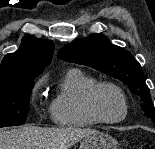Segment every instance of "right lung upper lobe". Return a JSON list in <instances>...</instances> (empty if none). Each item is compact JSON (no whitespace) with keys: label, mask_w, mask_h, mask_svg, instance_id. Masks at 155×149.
Returning <instances> with one entry per match:
<instances>
[{"label":"right lung upper lobe","mask_w":155,"mask_h":149,"mask_svg":"<svg viewBox=\"0 0 155 149\" xmlns=\"http://www.w3.org/2000/svg\"><path fill=\"white\" fill-rule=\"evenodd\" d=\"M54 46L52 41L25 36L19 50L4 57L0 64V79L31 77L42 73L51 62Z\"/></svg>","instance_id":"right-lung-upper-lobe-1"}]
</instances>
